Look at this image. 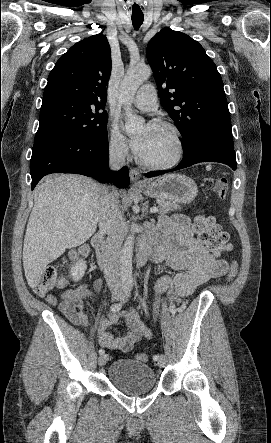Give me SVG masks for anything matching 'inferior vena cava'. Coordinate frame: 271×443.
<instances>
[{
	"label": "inferior vena cava",
	"instance_id": "1",
	"mask_svg": "<svg viewBox=\"0 0 271 443\" xmlns=\"http://www.w3.org/2000/svg\"><path fill=\"white\" fill-rule=\"evenodd\" d=\"M127 154L128 146L122 140L110 144L109 166L111 170H120L125 164ZM110 190V186H102L101 188L102 210L98 222L100 231H106L108 237L102 251L100 265L107 285L112 291L111 296H126L125 288L121 282L119 255L127 229L117 202L119 194L116 188H112V192Z\"/></svg>",
	"mask_w": 271,
	"mask_h": 443
}]
</instances>
